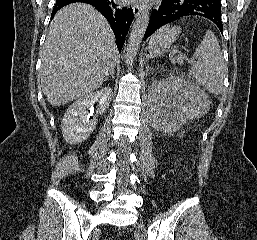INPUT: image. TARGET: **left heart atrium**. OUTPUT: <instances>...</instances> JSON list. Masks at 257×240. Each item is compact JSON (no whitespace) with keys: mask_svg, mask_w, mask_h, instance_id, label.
Segmentation results:
<instances>
[{"mask_svg":"<svg viewBox=\"0 0 257 240\" xmlns=\"http://www.w3.org/2000/svg\"><path fill=\"white\" fill-rule=\"evenodd\" d=\"M129 1L138 2V3H145V2H147L148 0H129Z\"/></svg>","mask_w":257,"mask_h":240,"instance_id":"39dd6f15","label":"left heart atrium"}]
</instances>
